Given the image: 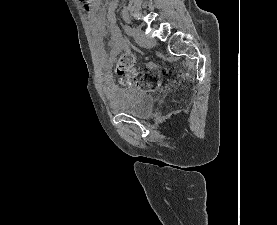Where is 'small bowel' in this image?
<instances>
[{
    "mask_svg": "<svg viewBox=\"0 0 277 225\" xmlns=\"http://www.w3.org/2000/svg\"><path fill=\"white\" fill-rule=\"evenodd\" d=\"M117 7V0H112L108 6L107 12L104 10H99L98 13L94 9L89 10V26L91 34L96 46V51L100 60L106 62V54L102 45V40L106 34L104 18L109 21L110 29V42H109V56L108 59H113L123 50H129V47L124 42L119 28L116 25L115 9ZM103 90L106 98L110 102H114L117 96L120 94V89L116 87L111 80L110 73L106 70L103 73Z\"/></svg>",
    "mask_w": 277,
    "mask_h": 225,
    "instance_id": "obj_1",
    "label": "small bowel"
}]
</instances>
